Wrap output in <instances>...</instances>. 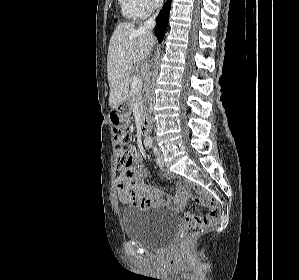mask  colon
Here are the masks:
<instances>
[{
	"label": "colon",
	"mask_w": 299,
	"mask_h": 280,
	"mask_svg": "<svg viewBox=\"0 0 299 280\" xmlns=\"http://www.w3.org/2000/svg\"><path fill=\"white\" fill-rule=\"evenodd\" d=\"M113 136L118 167L125 168L129 166L132 161V157L128 152L129 133L124 129L115 128ZM197 202L209 205L211 209L209 213L204 216H187L185 218L184 226L180 234V243L182 246L188 245L193 238L218 220L219 210L212 200L201 197L197 198Z\"/></svg>",
	"instance_id": "5ec220e1"
}]
</instances>
